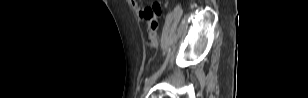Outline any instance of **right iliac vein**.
I'll use <instances>...</instances> for the list:
<instances>
[{
  "label": "right iliac vein",
  "instance_id": "right-iliac-vein-1",
  "mask_svg": "<svg viewBox=\"0 0 308 98\" xmlns=\"http://www.w3.org/2000/svg\"><path fill=\"white\" fill-rule=\"evenodd\" d=\"M157 78V77H156ZM156 78L152 79L150 82H148L145 85L144 91L147 92L149 90V88L151 87V85L156 81Z\"/></svg>",
  "mask_w": 308,
  "mask_h": 98
}]
</instances>
